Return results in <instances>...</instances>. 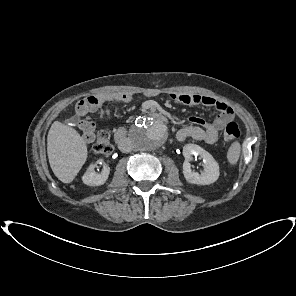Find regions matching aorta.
<instances>
[{"instance_id": "aorta-1", "label": "aorta", "mask_w": 296, "mask_h": 296, "mask_svg": "<svg viewBox=\"0 0 296 296\" xmlns=\"http://www.w3.org/2000/svg\"><path fill=\"white\" fill-rule=\"evenodd\" d=\"M134 146L142 151H151L161 147L168 138L167 126L148 116L138 118L130 130Z\"/></svg>"}]
</instances>
